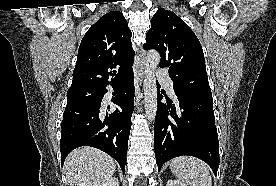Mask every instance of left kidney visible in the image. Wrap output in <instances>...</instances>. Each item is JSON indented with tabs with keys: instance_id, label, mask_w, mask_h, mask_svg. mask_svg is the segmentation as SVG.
<instances>
[{
	"instance_id": "left-kidney-1",
	"label": "left kidney",
	"mask_w": 276,
	"mask_h": 186,
	"mask_svg": "<svg viewBox=\"0 0 276 186\" xmlns=\"http://www.w3.org/2000/svg\"><path fill=\"white\" fill-rule=\"evenodd\" d=\"M166 186H187V185L179 180L170 179L167 181Z\"/></svg>"
}]
</instances>
